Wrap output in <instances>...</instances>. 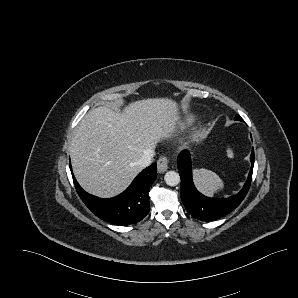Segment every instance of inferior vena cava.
Masks as SVG:
<instances>
[{"label": "inferior vena cava", "instance_id": "inferior-vena-cava-1", "mask_svg": "<svg viewBox=\"0 0 298 298\" xmlns=\"http://www.w3.org/2000/svg\"><path fill=\"white\" fill-rule=\"evenodd\" d=\"M152 154H153V150H147L143 154L142 158L139 159L138 165L141 166L142 168L148 167L150 165V162H151Z\"/></svg>", "mask_w": 298, "mask_h": 298}]
</instances>
